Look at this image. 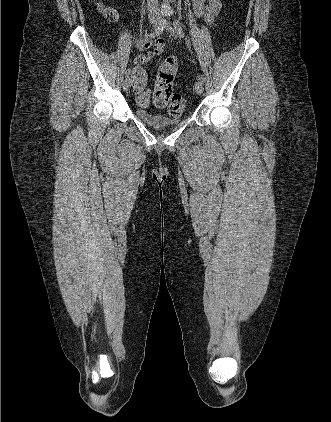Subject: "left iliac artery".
Instances as JSON below:
<instances>
[{
    "instance_id": "obj_1",
    "label": "left iliac artery",
    "mask_w": 331,
    "mask_h": 422,
    "mask_svg": "<svg viewBox=\"0 0 331 422\" xmlns=\"http://www.w3.org/2000/svg\"><path fill=\"white\" fill-rule=\"evenodd\" d=\"M173 27H174V30L177 32V34H179V35H180V37H182V38H184V37H185V34H184V31H183V28H182V26H181V24H180L179 20L174 19V21H173ZM186 42H187V41H186ZM188 44H189V42H188ZM199 80H200L202 83L204 82L203 75H200V76H199Z\"/></svg>"
}]
</instances>
